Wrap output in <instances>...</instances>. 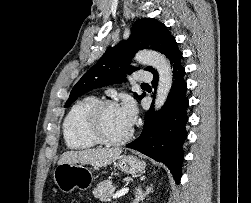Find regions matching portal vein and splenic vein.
Segmentation results:
<instances>
[{"mask_svg":"<svg viewBox=\"0 0 251 203\" xmlns=\"http://www.w3.org/2000/svg\"><path fill=\"white\" fill-rule=\"evenodd\" d=\"M129 191L128 188H122L121 190L117 191L116 194L113 195V198H120L122 196H124L125 194H127Z\"/></svg>","mask_w":251,"mask_h":203,"instance_id":"1","label":"portal vein and splenic vein"}]
</instances>
